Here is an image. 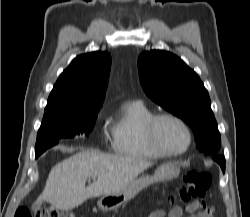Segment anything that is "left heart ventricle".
<instances>
[{"mask_svg":"<svg viewBox=\"0 0 250 217\" xmlns=\"http://www.w3.org/2000/svg\"><path fill=\"white\" fill-rule=\"evenodd\" d=\"M158 137L161 143L170 150H181L187 145V135L177 123L164 120L159 123Z\"/></svg>","mask_w":250,"mask_h":217,"instance_id":"obj_1","label":"left heart ventricle"}]
</instances>
